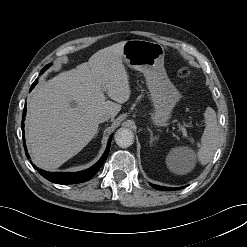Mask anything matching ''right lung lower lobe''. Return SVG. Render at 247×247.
I'll return each mask as SVG.
<instances>
[{
  "label": "right lung lower lobe",
  "instance_id": "right-lung-lower-lobe-1",
  "mask_svg": "<svg viewBox=\"0 0 247 247\" xmlns=\"http://www.w3.org/2000/svg\"><path fill=\"white\" fill-rule=\"evenodd\" d=\"M37 83H38V81L35 80V82L32 84V86L30 88V91L34 88V86ZM25 116H26V107H24L23 118H22V133L23 134H24ZM111 138H112V136L110 137V139L108 141V146H107L106 151L103 154L102 158L95 165H93L91 168H89L87 170L80 171V172H75V173H63V172L51 173V172H46L44 170H41V169L37 168L35 165H33V167L35 169H37L38 172L44 178H46L49 181L54 182V183H58V184H75V183H81V182L88 181L96 174V172L100 169V167L105 162V160H106V158L108 156L109 150H110ZM23 141H24V149L26 150L24 137H23ZM26 156L29 158L27 150H26Z\"/></svg>",
  "mask_w": 247,
  "mask_h": 247
}]
</instances>
